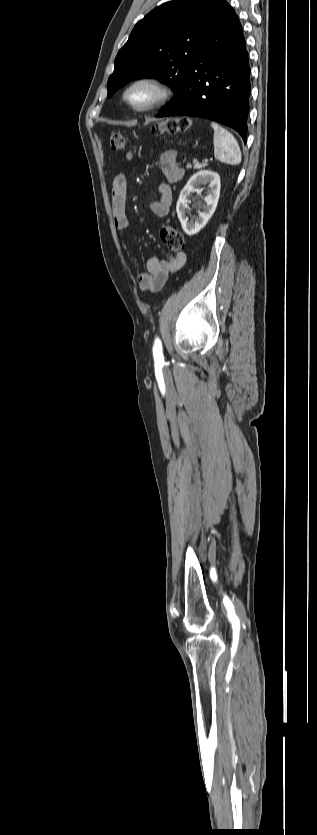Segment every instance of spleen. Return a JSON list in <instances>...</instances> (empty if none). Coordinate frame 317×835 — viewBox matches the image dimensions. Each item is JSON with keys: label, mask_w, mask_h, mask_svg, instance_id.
<instances>
[{"label": "spleen", "mask_w": 317, "mask_h": 835, "mask_svg": "<svg viewBox=\"0 0 317 835\" xmlns=\"http://www.w3.org/2000/svg\"><path fill=\"white\" fill-rule=\"evenodd\" d=\"M211 127L214 130L213 144L215 158L222 163L230 165L240 164L242 155L234 136L215 122L211 123Z\"/></svg>", "instance_id": "obj_1"}]
</instances>
